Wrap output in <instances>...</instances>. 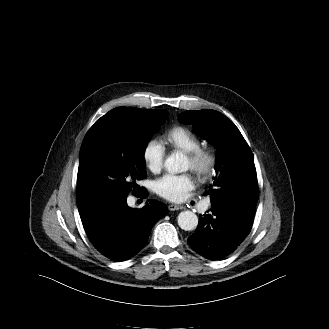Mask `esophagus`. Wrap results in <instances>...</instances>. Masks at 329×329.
I'll list each match as a JSON object with an SVG mask.
<instances>
[{
	"label": "esophagus",
	"mask_w": 329,
	"mask_h": 329,
	"mask_svg": "<svg viewBox=\"0 0 329 329\" xmlns=\"http://www.w3.org/2000/svg\"><path fill=\"white\" fill-rule=\"evenodd\" d=\"M183 208V206H179V205H175V204H170L169 206H168V209L170 210V211H175V210H179V209H182Z\"/></svg>",
	"instance_id": "obj_1"
}]
</instances>
